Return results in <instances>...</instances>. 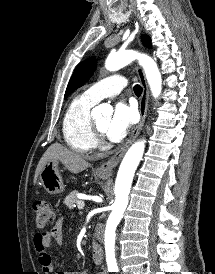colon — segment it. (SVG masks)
<instances>
[{
    "instance_id": "obj_1",
    "label": "colon",
    "mask_w": 215,
    "mask_h": 274,
    "mask_svg": "<svg viewBox=\"0 0 215 274\" xmlns=\"http://www.w3.org/2000/svg\"><path fill=\"white\" fill-rule=\"evenodd\" d=\"M34 211L37 228L43 229L54 221V210L47 200L37 199L34 202Z\"/></svg>"
}]
</instances>
